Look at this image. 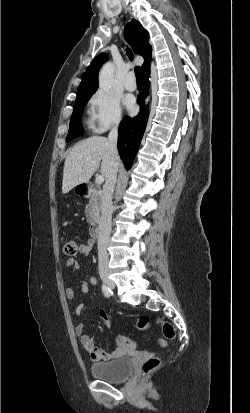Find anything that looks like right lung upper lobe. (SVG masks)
Here are the masks:
<instances>
[{
    "mask_svg": "<svg viewBox=\"0 0 250 413\" xmlns=\"http://www.w3.org/2000/svg\"><path fill=\"white\" fill-rule=\"evenodd\" d=\"M125 36L128 42L131 44L134 52L145 58L142 65L143 72L149 71L152 54V47L149 44L148 32L140 25L136 20H132L125 27ZM108 59V54L101 53L98 55L86 69L80 86L77 91V96L93 93L98 88V70L101 68L102 63H105Z\"/></svg>",
    "mask_w": 250,
    "mask_h": 413,
    "instance_id": "cb5924a9",
    "label": "right lung upper lobe"
}]
</instances>
